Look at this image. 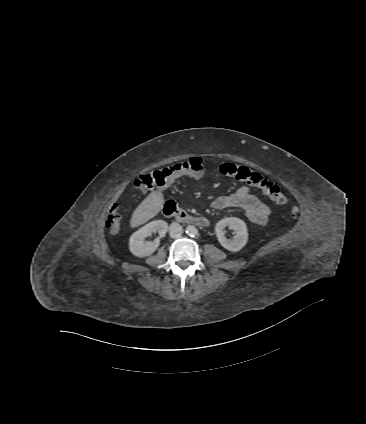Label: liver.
Returning a JSON list of instances; mask_svg holds the SVG:
<instances>
[{
  "mask_svg": "<svg viewBox=\"0 0 366 424\" xmlns=\"http://www.w3.org/2000/svg\"><path fill=\"white\" fill-rule=\"evenodd\" d=\"M163 204L164 196L162 192L153 191L135 209L130 220V226L137 227L144 224L160 212Z\"/></svg>",
  "mask_w": 366,
  "mask_h": 424,
  "instance_id": "liver-1",
  "label": "liver"
}]
</instances>
